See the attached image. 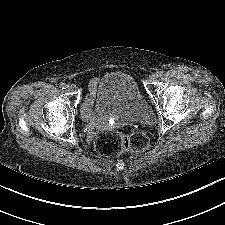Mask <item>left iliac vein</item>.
I'll use <instances>...</instances> for the list:
<instances>
[{"label":"left iliac vein","mask_w":225,"mask_h":225,"mask_svg":"<svg viewBox=\"0 0 225 225\" xmlns=\"http://www.w3.org/2000/svg\"><path fill=\"white\" fill-rule=\"evenodd\" d=\"M156 79H157V74H151V75L149 76V80H150V81H156Z\"/></svg>","instance_id":"obj_1"}]
</instances>
